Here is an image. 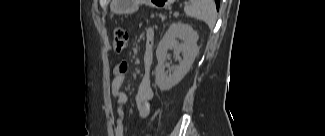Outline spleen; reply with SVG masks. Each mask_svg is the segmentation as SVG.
<instances>
[{
  "instance_id": "1",
  "label": "spleen",
  "mask_w": 325,
  "mask_h": 136,
  "mask_svg": "<svg viewBox=\"0 0 325 136\" xmlns=\"http://www.w3.org/2000/svg\"><path fill=\"white\" fill-rule=\"evenodd\" d=\"M184 11L187 16L204 21L210 29L215 26L217 13L213 0H191V4L186 5Z\"/></svg>"
}]
</instances>
